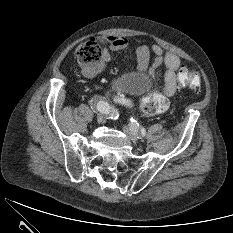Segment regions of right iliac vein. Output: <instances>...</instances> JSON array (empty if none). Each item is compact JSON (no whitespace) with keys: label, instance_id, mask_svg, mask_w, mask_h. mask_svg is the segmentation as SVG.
I'll return each instance as SVG.
<instances>
[{"label":"right iliac vein","instance_id":"63e3f726","mask_svg":"<svg viewBox=\"0 0 233 233\" xmlns=\"http://www.w3.org/2000/svg\"><path fill=\"white\" fill-rule=\"evenodd\" d=\"M105 118H106L105 115L100 113L97 115V122L103 123L105 121Z\"/></svg>","mask_w":233,"mask_h":233}]
</instances>
